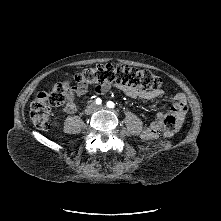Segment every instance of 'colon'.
I'll return each instance as SVG.
<instances>
[{
    "mask_svg": "<svg viewBox=\"0 0 221 221\" xmlns=\"http://www.w3.org/2000/svg\"><path fill=\"white\" fill-rule=\"evenodd\" d=\"M71 83L79 87L100 86L120 83L144 91L158 90L161 79L149 70L133 68L125 65H98L77 74L67 82L57 83L51 91L40 92L30 105V118L38 129H47L50 119V108L63 105L73 88ZM176 118L167 116L164 120V136L169 138L176 128Z\"/></svg>",
    "mask_w": 221,
    "mask_h": 221,
    "instance_id": "colon-1",
    "label": "colon"
}]
</instances>
